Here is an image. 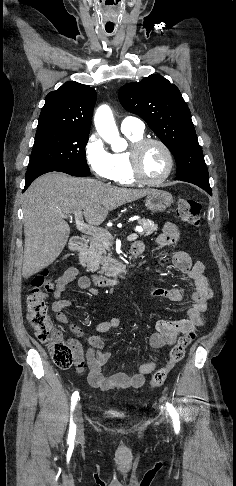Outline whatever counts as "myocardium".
<instances>
[{"mask_svg": "<svg viewBox=\"0 0 236 486\" xmlns=\"http://www.w3.org/2000/svg\"><path fill=\"white\" fill-rule=\"evenodd\" d=\"M150 144H156L162 148L167 158V169L165 173L158 179L151 180L144 176L141 168V156L144 149ZM130 168L133 178L137 183H141L148 186H157L165 182L174 169V156L170 148L161 140L156 138H142L141 140L133 143L129 150Z\"/></svg>", "mask_w": 236, "mask_h": 486, "instance_id": "f54148a6", "label": "myocardium"}]
</instances>
